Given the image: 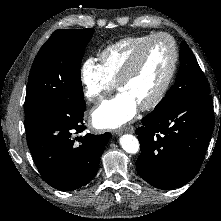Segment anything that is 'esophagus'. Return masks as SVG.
<instances>
[{
  "mask_svg": "<svg viewBox=\"0 0 221 221\" xmlns=\"http://www.w3.org/2000/svg\"><path fill=\"white\" fill-rule=\"evenodd\" d=\"M123 132H130L133 133L134 132V127L133 126H128L119 130H116L114 133L116 135H121Z\"/></svg>",
  "mask_w": 221,
  "mask_h": 221,
  "instance_id": "obj_1",
  "label": "esophagus"
}]
</instances>
